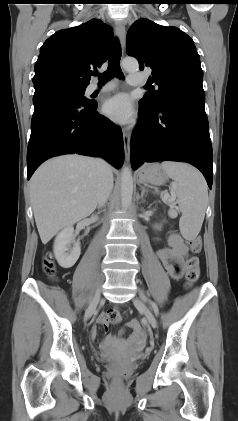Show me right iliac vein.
<instances>
[{"label":"right iliac vein","mask_w":238,"mask_h":421,"mask_svg":"<svg viewBox=\"0 0 238 421\" xmlns=\"http://www.w3.org/2000/svg\"><path fill=\"white\" fill-rule=\"evenodd\" d=\"M100 295H101V288L99 287L96 290V292L94 294V297H93L88 309L86 310L85 320H88L93 315V313L95 312L96 307H97V305L99 303V300H100Z\"/></svg>","instance_id":"63e3f726"}]
</instances>
